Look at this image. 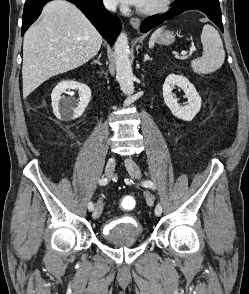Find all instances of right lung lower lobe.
Masks as SVG:
<instances>
[{
    "label": "right lung lower lobe",
    "instance_id": "1",
    "mask_svg": "<svg viewBox=\"0 0 249 294\" xmlns=\"http://www.w3.org/2000/svg\"><path fill=\"white\" fill-rule=\"evenodd\" d=\"M51 0H26L22 18V35L38 18L44 5ZM75 4L95 26L99 33L110 43L114 44L121 30V22L117 16L110 14L102 0H67Z\"/></svg>",
    "mask_w": 249,
    "mask_h": 294
}]
</instances>
